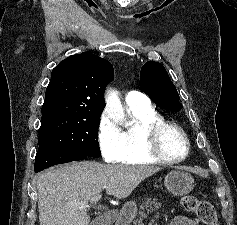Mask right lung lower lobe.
<instances>
[{
  "instance_id": "right-lung-lower-lobe-1",
  "label": "right lung lower lobe",
  "mask_w": 237,
  "mask_h": 225,
  "mask_svg": "<svg viewBox=\"0 0 237 225\" xmlns=\"http://www.w3.org/2000/svg\"><path fill=\"white\" fill-rule=\"evenodd\" d=\"M87 155L60 149L39 148L35 157V172L56 164L67 163L76 160H83Z\"/></svg>"
}]
</instances>
